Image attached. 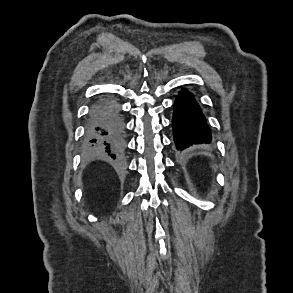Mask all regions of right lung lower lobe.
Wrapping results in <instances>:
<instances>
[{"label":"right lung lower lobe","instance_id":"1","mask_svg":"<svg viewBox=\"0 0 293 293\" xmlns=\"http://www.w3.org/2000/svg\"><path fill=\"white\" fill-rule=\"evenodd\" d=\"M86 139L99 151L108 153L113 159L124 148V121L119 106L107 99L95 103L89 113Z\"/></svg>","mask_w":293,"mask_h":293}]
</instances>
